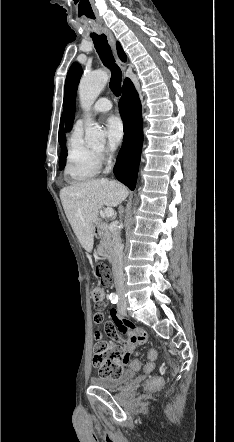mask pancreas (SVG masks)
Instances as JSON below:
<instances>
[{"label":"pancreas","instance_id":"1","mask_svg":"<svg viewBox=\"0 0 234 442\" xmlns=\"http://www.w3.org/2000/svg\"><path fill=\"white\" fill-rule=\"evenodd\" d=\"M102 238L100 241L98 252L103 256H107V252L111 249V233L107 223H102Z\"/></svg>","mask_w":234,"mask_h":442}]
</instances>
